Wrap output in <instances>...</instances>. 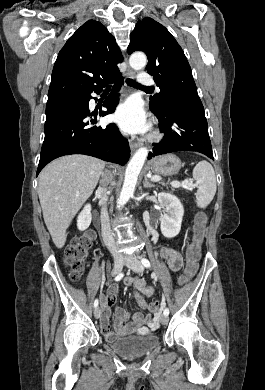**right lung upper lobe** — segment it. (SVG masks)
<instances>
[{
  "label": "right lung upper lobe",
  "mask_w": 265,
  "mask_h": 390,
  "mask_svg": "<svg viewBox=\"0 0 265 390\" xmlns=\"http://www.w3.org/2000/svg\"><path fill=\"white\" fill-rule=\"evenodd\" d=\"M123 61L115 38L100 22L84 23L65 43L58 54L48 102L84 95L112 80L120 73Z\"/></svg>",
  "instance_id": "1"
}]
</instances>
